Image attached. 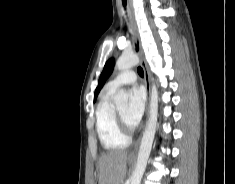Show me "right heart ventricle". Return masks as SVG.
<instances>
[{"instance_id": "1", "label": "right heart ventricle", "mask_w": 235, "mask_h": 184, "mask_svg": "<svg viewBox=\"0 0 235 184\" xmlns=\"http://www.w3.org/2000/svg\"><path fill=\"white\" fill-rule=\"evenodd\" d=\"M95 126L100 143L107 154L122 151L131 142L119 128L116 112L109 102V92L96 106Z\"/></svg>"}]
</instances>
